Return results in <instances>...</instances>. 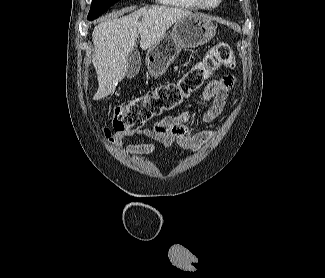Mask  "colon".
<instances>
[{"label":"colon","mask_w":325,"mask_h":278,"mask_svg":"<svg viewBox=\"0 0 325 278\" xmlns=\"http://www.w3.org/2000/svg\"><path fill=\"white\" fill-rule=\"evenodd\" d=\"M236 58L227 43L214 45L205 58L194 64L181 78L157 86L128 102L113 104L112 127L117 132L141 129L184 102L219 68L234 69Z\"/></svg>","instance_id":"5ec220e1"}]
</instances>
